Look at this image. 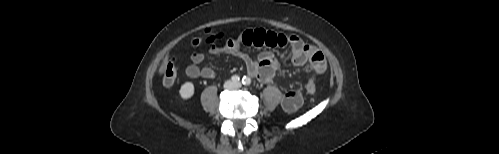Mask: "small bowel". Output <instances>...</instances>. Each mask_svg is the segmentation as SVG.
<instances>
[{
  "instance_id": "obj_1",
  "label": "small bowel",
  "mask_w": 499,
  "mask_h": 154,
  "mask_svg": "<svg viewBox=\"0 0 499 154\" xmlns=\"http://www.w3.org/2000/svg\"><path fill=\"white\" fill-rule=\"evenodd\" d=\"M224 38L223 33L210 35L206 38L209 44L208 53L210 55L230 54L239 57L244 61L247 71L258 80L269 83L275 78L277 61L273 53L269 50L274 47H288L293 64L301 66L308 64L315 73L323 74L327 69L326 59L321 50L305 43L296 35L286 36L263 28L246 29L236 36L227 39L224 44L217 45L216 41ZM243 46H255L268 48L263 50L257 58H251L241 51ZM192 63L186 68V75L190 78L202 77L204 79H214L215 72L210 67H200L204 60L201 51H194L191 56ZM303 104L302 94L298 89L286 93L282 99V107L286 112L293 113Z\"/></svg>"
}]
</instances>
